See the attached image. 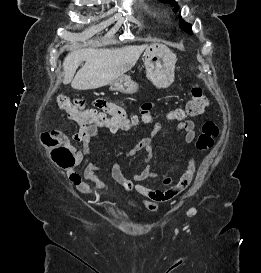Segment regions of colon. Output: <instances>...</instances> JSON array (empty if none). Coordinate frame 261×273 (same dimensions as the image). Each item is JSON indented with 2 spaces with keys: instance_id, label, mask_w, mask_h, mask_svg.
<instances>
[{
  "instance_id": "obj_1",
  "label": "colon",
  "mask_w": 261,
  "mask_h": 273,
  "mask_svg": "<svg viewBox=\"0 0 261 273\" xmlns=\"http://www.w3.org/2000/svg\"><path fill=\"white\" fill-rule=\"evenodd\" d=\"M58 104L60 108L88 124L105 126L112 130L130 129L139 122L137 116H133L131 119L121 122L117 117L108 116L104 112H99L95 109H84L83 101L79 98L60 96L58 98ZM207 106L208 99L202 88L194 84L191 88V97L186 106L183 109L175 111L173 116L177 118L195 117L202 114ZM141 119L149 122L152 120V115L150 112L143 111L141 113ZM218 133V126L214 122H205L197 138L196 148L200 151L210 149ZM41 142L47 150L49 158L56 165L62 168H70L75 164L76 158L73 149L61 133L56 131H44L41 134ZM165 184L170 186L169 190L172 194L178 193L188 187L189 179H179L178 182L173 183L171 178H166Z\"/></svg>"
}]
</instances>
